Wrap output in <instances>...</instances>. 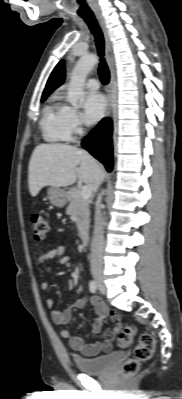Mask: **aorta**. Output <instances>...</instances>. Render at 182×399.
I'll return each instance as SVG.
<instances>
[{
	"mask_svg": "<svg viewBox=\"0 0 182 399\" xmlns=\"http://www.w3.org/2000/svg\"><path fill=\"white\" fill-rule=\"evenodd\" d=\"M98 60L97 55H84L76 63L68 85V101L74 108H79L83 104L86 77Z\"/></svg>",
	"mask_w": 182,
	"mask_h": 399,
	"instance_id": "762f6f07",
	"label": "aorta"
}]
</instances>
